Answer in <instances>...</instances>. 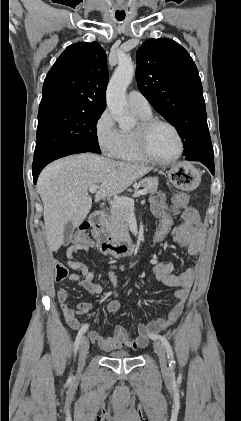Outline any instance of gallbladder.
Returning <instances> with one entry per match:
<instances>
[{"mask_svg":"<svg viewBox=\"0 0 241 421\" xmlns=\"http://www.w3.org/2000/svg\"><path fill=\"white\" fill-rule=\"evenodd\" d=\"M73 232H74L73 222L72 221H68L65 224V227H64V240H63V245L64 246H67L70 243Z\"/></svg>","mask_w":241,"mask_h":421,"instance_id":"bac80fb5","label":"gallbladder"}]
</instances>
